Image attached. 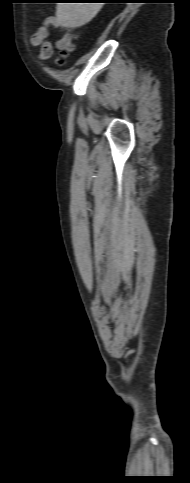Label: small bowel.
I'll use <instances>...</instances> for the list:
<instances>
[{"label": "small bowel", "mask_w": 190, "mask_h": 483, "mask_svg": "<svg viewBox=\"0 0 190 483\" xmlns=\"http://www.w3.org/2000/svg\"><path fill=\"white\" fill-rule=\"evenodd\" d=\"M60 24L55 17H47L44 23L31 36V44L35 47H40L39 57L42 60L49 59L53 54L54 43L49 40L50 32L53 28L59 27ZM71 42V34L65 31L59 39L55 42V46L59 49H64Z\"/></svg>", "instance_id": "c3829d8e"}]
</instances>
